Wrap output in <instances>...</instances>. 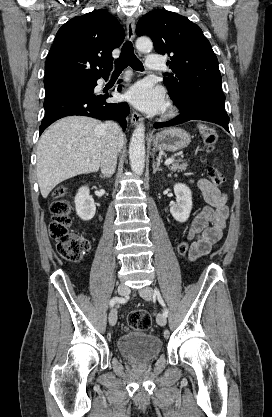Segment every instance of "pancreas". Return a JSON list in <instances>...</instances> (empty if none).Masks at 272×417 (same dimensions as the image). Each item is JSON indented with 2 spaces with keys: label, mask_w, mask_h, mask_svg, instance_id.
<instances>
[{
  "label": "pancreas",
  "mask_w": 272,
  "mask_h": 417,
  "mask_svg": "<svg viewBox=\"0 0 272 417\" xmlns=\"http://www.w3.org/2000/svg\"><path fill=\"white\" fill-rule=\"evenodd\" d=\"M187 167L186 163L179 164V163H173L172 166L169 168L171 171H177V170H185Z\"/></svg>",
  "instance_id": "1"
}]
</instances>
